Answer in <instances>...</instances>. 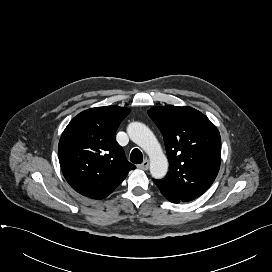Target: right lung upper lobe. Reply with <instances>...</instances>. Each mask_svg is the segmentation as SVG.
Listing matches in <instances>:
<instances>
[{
	"instance_id": "right-lung-upper-lobe-1",
	"label": "right lung upper lobe",
	"mask_w": 272,
	"mask_h": 272,
	"mask_svg": "<svg viewBox=\"0 0 272 272\" xmlns=\"http://www.w3.org/2000/svg\"><path fill=\"white\" fill-rule=\"evenodd\" d=\"M130 109L115 105L85 110L75 116L59 141L63 175L83 196L103 199L136 167L127 161L115 132Z\"/></svg>"
}]
</instances>
